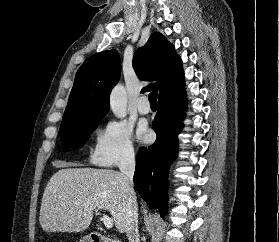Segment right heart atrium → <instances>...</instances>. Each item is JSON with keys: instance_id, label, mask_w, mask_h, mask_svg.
<instances>
[{"instance_id": "obj_1", "label": "right heart atrium", "mask_w": 279, "mask_h": 242, "mask_svg": "<svg viewBox=\"0 0 279 242\" xmlns=\"http://www.w3.org/2000/svg\"><path fill=\"white\" fill-rule=\"evenodd\" d=\"M131 128L123 121L110 120L97 133L90 161L102 167H115L134 159Z\"/></svg>"}]
</instances>
